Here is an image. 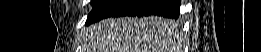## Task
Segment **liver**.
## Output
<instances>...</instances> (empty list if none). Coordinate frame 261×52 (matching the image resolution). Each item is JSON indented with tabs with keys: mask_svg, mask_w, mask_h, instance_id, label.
Segmentation results:
<instances>
[{
	"mask_svg": "<svg viewBox=\"0 0 261 52\" xmlns=\"http://www.w3.org/2000/svg\"><path fill=\"white\" fill-rule=\"evenodd\" d=\"M178 34L162 17L108 18L90 27L87 52H173Z\"/></svg>",
	"mask_w": 261,
	"mask_h": 52,
	"instance_id": "1",
	"label": "liver"
}]
</instances>
